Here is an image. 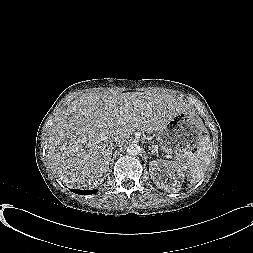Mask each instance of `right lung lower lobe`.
Wrapping results in <instances>:
<instances>
[{
	"instance_id": "1",
	"label": "right lung lower lobe",
	"mask_w": 253,
	"mask_h": 253,
	"mask_svg": "<svg viewBox=\"0 0 253 253\" xmlns=\"http://www.w3.org/2000/svg\"><path fill=\"white\" fill-rule=\"evenodd\" d=\"M73 192L76 194H80V195H91V194H95L98 192V189H93V190H77V189H73Z\"/></svg>"
}]
</instances>
